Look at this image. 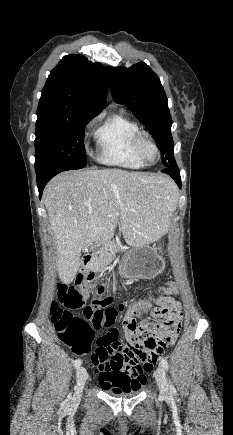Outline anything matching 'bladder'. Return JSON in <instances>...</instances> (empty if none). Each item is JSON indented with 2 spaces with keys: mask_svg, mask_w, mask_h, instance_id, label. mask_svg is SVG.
<instances>
[{
  "mask_svg": "<svg viewBox=\"0 0 233 435\" xmlns=\"http://www.w3.org/2000/svg\"><path fill=\"white\" fill-rule=\"evenodd\" d=\"M144 385L145 384L143 382H141L140 384H133V389L128 392H115L109 389H104V393L116 398H131L140 394L144 388Z\"/></svg>",
  "mask_w": 233,
  "mask_h": 435,
  "instance_id": "1",
  "label": "bladder"
}]
</instances>
